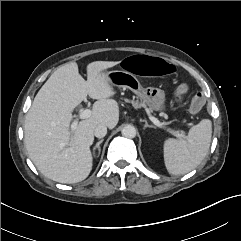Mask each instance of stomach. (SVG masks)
I'll list each match as a JSON object with an SVG mask.
<instances>
[{"instance_id": "0dacf381", "label": "stomach", "mask_w": 241, "mask_h": 241, "mask_svg": "<svg viewBox=\"0 0 241 241\" xmlns=\"http://www.w3.org/2000/svg\"><path fill=\"white\" fill-rule=\"evenodd\" d=\"M107 77L113 86L133 91L150 110L163 111L165 109L164 91L155 87L143 88L136 74L127 70H116L108 72Z\"/></svg>"}]
</instances>
